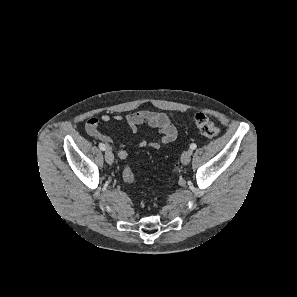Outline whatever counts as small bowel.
<instances>
[{
	"instance_id": "small-bowel-1",
	"label": "small bowel",
	"mask_w": 297,
	"mask_h": 297,
	"mask_svg": "<svg viewBox=\"0 0 297 297\" xmlns=\"http://www.w3.org/2000/svg\"><path fill=\"white\" fill-rule=\"evenodd\" d=\"M123 117L119 114L110 115L102 114L100 118L91 117L85 124L87 134L95 139L100 140L108 148H111L113 140L108 135L102 133L98 129L99 122L122 121ZM172 114L164 112H155L149 110H139L134 113L126 115L125 121L127 122L130 130L136 133L141 125H148L155 128L160 133V138L156 141L147 142L142 140L139 142L138 147L144 148L146 146L152 149H159L161 145H166L174 142L177 138V129L172 124ZM121 150H125V144H121ZM126 151V150H125Z\"/></svg>"
}]
</instances>
